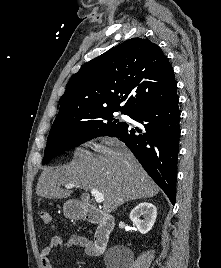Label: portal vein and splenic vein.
<instances>
[{
	"label": "portal vein and splenic vein",
	"instance_id": "1",
	"mask_svg": "<svg viewBox=\"0 0 221 268\" xmlns=\"http://www.w3.org/2000/svg\"><path fill=\"white\" fill-rule=\"evenodd\" d=\"M73 187H77V185H75V184H66L65 185V188H67V189H70ZM91 194H92V196H94L97 203H101L104 201V194L100 193L97 189H92Z\"/></svg>",
	"mask_w": 221,
	"mask_h": 268
}]
</instances>
